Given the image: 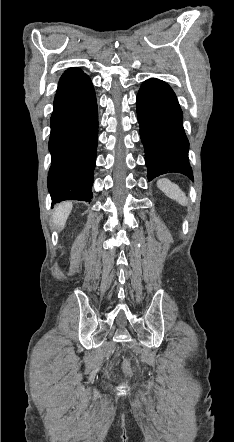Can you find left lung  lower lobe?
I'll return each mask as SVG.
<instances>
[{
  "instance_id": "obj_1",
  "label": "left lung lower lobe",
  "mask_w": 234,
  "mask_h": 442,
  "mask_svg": "<svg viewBox=\"0 0 234 442\" xmlns=\"http://www.w3.org/2000/svg\"><path fill=\"white\" fill-rule=\"evenodd\" d=\"M136 104L149 181L171 172L193 179L183 115L173 90L161 80H146Z\"/></svg>"
}]
</instances>
